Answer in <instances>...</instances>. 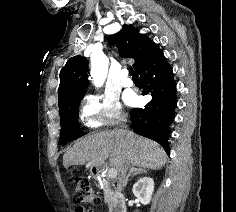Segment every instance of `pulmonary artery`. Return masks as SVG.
<instances>
[{
  "instance_id": "e3ab8cb5",
  "label": "pulmonary artery",
  "mask_w": 236,
  "mask_h": 212,
  "mask_svg": "<svg viewBox=\"0 0 236 212\" xmlns=\"http://www.w3.org/2000/svg\"><path fill=\"white\" fill-rule=\"evenodd\" d=\"M121 86L123 87H132L133 81L128 77L127 72L124 70L121 73Z\"/></svg>"
}]
</instances>
